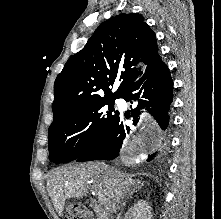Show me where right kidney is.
I'll return each instance as SVG.
<instances>
[{"label":"right kidney","mask_w":221,"mask_h":219,"mask_svg":"<svg viewBox=\"0 0 221 219\" xmlns=\"http://www.w3.org/2000/svg\"><path fill=\"white\" fill-rule=\"evenodd\" d=\"M152 208L145 200L134 204L127 212L125 219H151Z\"/></svg>","instance_id":"1"}]
</instances>
